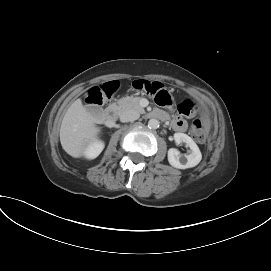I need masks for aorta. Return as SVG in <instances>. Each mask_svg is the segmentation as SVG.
I'll return each mask as SVG.
<instances>
[{
	"mask_svg": "<svg viewBox=\"0 0 271 271\" xmlns=\"http://www.w3.org/2000/svg\"><path fill=\"white\" fill-rule=\"evenodd\" d=\"M148 126L152 129H157L159 127V121L157 119L152 118L148 121Z\"/></svg>",
	"mask_w": 271,
	"mask_h": 271,
	"instance_id": "762f6f07",
	"label": "aorta"
}]
</instances>
